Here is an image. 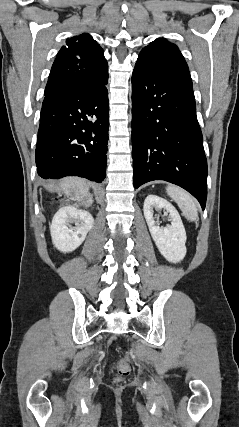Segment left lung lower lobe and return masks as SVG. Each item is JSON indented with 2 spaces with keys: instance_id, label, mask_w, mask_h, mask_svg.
Returning a JSON list of instances; mask_svg holds the SVG:
<instances>
[{
  "instance_id": "left-lung-lower-lobe-1",
  "label": "left lung lower lobe",
  "mask_w": 239,
  "mask_h": 427,
  "mask_svg": "<svg viewBox=\"0 0 239 427\" xmlns=\"http://www.w3.org/2000/svg\"><path fill=\"white\" fill-rule=\"evenodd\" d=\"M134 187L165 180L205 209L207 160L192 85L135 65L132 75Z\"/></svg>"
}]
</instances>
